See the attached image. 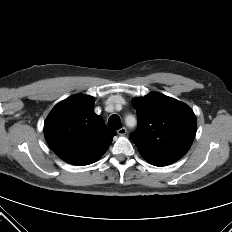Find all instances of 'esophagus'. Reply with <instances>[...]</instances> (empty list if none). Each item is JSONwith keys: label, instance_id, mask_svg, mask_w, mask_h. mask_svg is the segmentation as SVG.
<instances>
[{"label": "esophagus", "instance_id": "1", "mask_svg": "<svg viewBox=\"0 0 232 232\" xmlns=\"http://www.w3.org/2000/svg\"><path fill=\"white\" fill-rule=\"evenodd\" d=\"M117 133L121 136H124L127 133V129L125 127L120 128Z\"/></svg>", "mask_w": 232, "mask_h": 232}]
</instances>
